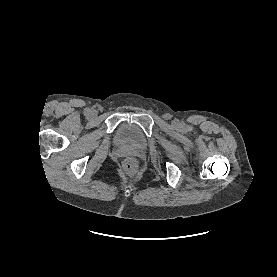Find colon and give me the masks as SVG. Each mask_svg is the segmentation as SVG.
Instances as JSON below:
<instances>
[{"mask_svg": "<svg viewBox=\"0 0 277 277\" xmlns=\"http://www.w3.org/2000/svg\"><path fill=\"white\" fill-rule=\"evenodd\" d=\"M123 167L129 174H133L136 172L137 163L134 159L127 158L123 163Z\"/></svg>", "mask_w": 277, "mask_h": 277, "instance_id": "5ec220e1", "label": "colon"}]
</instances>
